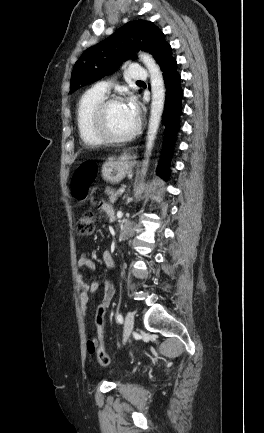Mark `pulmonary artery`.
Segmentation results:
<instances>
[{
    "label": "pulmonary artery",
    "instance_id": "1",
    "mask_svg": "<svg viewBox=\"0 0 264 433\" xmlns=\"http://www.w3.org/2000/svg\"><path fill=\"white\" fill-rule=\"evenodd\" d=\"M128 76L133 80H145L148 74L145 68L132 65L128 70ZM93 89L106 95L110 90V84L108 81H99Z\"/></svg>",
    "mask_w": 264,
    "mask_h": 433
}]
</instances>
